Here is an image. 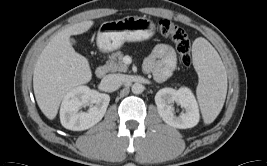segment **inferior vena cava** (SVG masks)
<instances>
[{
	"label": "inferior vena cava",
	"mask_w": 267,
	"mask_h": 166,
	"mask_svg": "<svg viewBox=\"0 0 267 166\" xmlns=\"http://www.w3.org/2000/svg\"><path fill=\"white\" fill-rule=\"evenodd\" d=\"M124 82L125 78L122 74H108L101 80V87L106 92H113Z\"/></svg>",
	"instance_id": "obj_1"
}]
</instances>
